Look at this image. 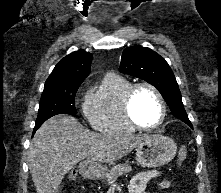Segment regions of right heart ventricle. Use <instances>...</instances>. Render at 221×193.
Instances as JSON below:
<instances>
[{
    "label": "right heart ventricle",
    "mask_w": 221,
    "mask_h": 193,
    "mask_svg": "<svg viewBox=\"0 0 221 193\" xmlns=\"http://www.w3.org/2000/svg\"><path fill=\"white\" fill-rule=\"evenodd\" d=\"M131 82L127 79L108 75L100 89L90 95L83 107L85 118L97 131L106 134H130L135 132L125 118L123 99Z\"/></svg>",
    "instance_id": "obj_1"
}]
</instances>
